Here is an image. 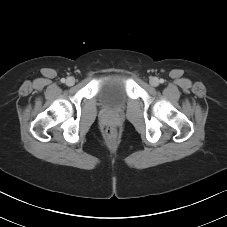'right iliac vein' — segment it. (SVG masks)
<instances>
[{
    "label": "right iliac vein",
    "mask_w": 227,
    "mask_h": 227,
    "mask_svg": "<svg viewBox=\"0 0 227 227\" xmlns=\"http://www.w3.org/2000/svg\"><path fill=\"white\" fill-rule=\"evenodd\" d=\"M74 83H75V79H74L73 77H68V78H67L66 84H67L68 86H72V85H74Z\"/></svg>",
    "instance_id": "63e3f726"
}]
</instances>
